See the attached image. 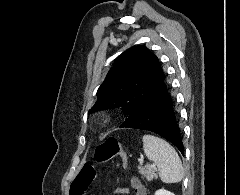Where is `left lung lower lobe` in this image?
Listing matches in <instances>:
<instances>
[{
    "label": "left lung lower lobe",
    "instance_id": "obj_1",
    "mask_svg": "<svg viewBox=\"0 0 240 195\" xmlns=\"http://www.w3.org/2000/svg\"><path fill=\"white\" fill-rule=\"evenodd\" d=\"M174 102L164 85L143 105L139 112L121 127L148 130L161 135L184 154Z\"/></svg>",
    "mask_w": 240,
    "mask_h": 195
}]
</instances>
